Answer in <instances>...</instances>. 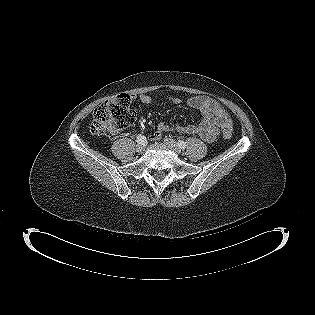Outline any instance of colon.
Returning a JSON list of instances; mask_svg holds the SVG:
<instances>
[{
  "label": "colon",
  "mask_w": 315,
  "mask_h": 315,
  "mask_svg": "<svg viewBox=\"0 0 315 315\" xmlns=\"http://www.w3.org/2000/svg\"><path fill=\"white\" fill-rule=\"evenodd\" d=\"M131 98L126 94L113 96L99 105L93 113L90 125L93 134H100L107 130H122L130 126L135 120V112L130 107ZM225 138L231 137L229 129L223 130Z\"/></svg>",
  "instance_id": "5ec220e1"
}]
</instances>
